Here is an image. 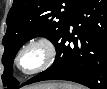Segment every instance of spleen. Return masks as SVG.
<instances>
[{
    "label": "spleen",
    "mask_w": 107,
    "mask_h": 89,
    "mask_svg": "<svg viewBox=\"0 0 107 89\" xmlns=\"http://www.w3.org/2000/svg\"><path fill=\"white\" fill-rule=\"evenodd\" d=\"M61 88L62 89H82V86L64 83L62 84Z\"/></svg>",
    "instance_id": "1"
}]
</instances>
